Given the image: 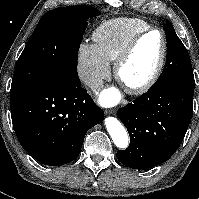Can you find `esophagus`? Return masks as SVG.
Wrapping results in <instances>:
<instances>
[{
    "label": "esophagus",
    "instance_id": "1",
    "mask_svg": "<svg viewBox=\"0 0 199 199\" xmlns=\"http://www.w3.org/2000/svg\"><path fill=\"white\" fill-rule=\"evenodd\" d=\"M115 113H116V110H114V109L106 110V114L114 115Z\"/></svg>",
    "mask_w": 199,
    "mask_h": 199
}]
</instances>
